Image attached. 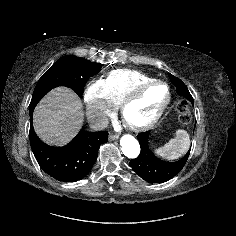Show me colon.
I'll use <instances>...</instances> for the list:
<instances>
[{
    "label": "colon",
    "instance_id": "obj_1",
    "mask_svg": "<svg viewBox=\"0 0 236 236\" xmlns=\"http://www.w3.org/2000/svg\"><path fill=\"white\" fill-rule=\"evenodd\" d=\"M176 110L178 112L179 121L183 125H189L191 123L192 116L188 104L185 101H179L176 105Z\"/></svg>",
    "mask_w": 236,
    "mask_h": 236
}]
</instances>
